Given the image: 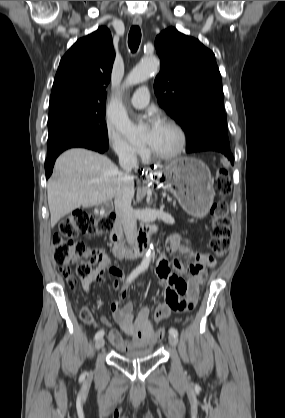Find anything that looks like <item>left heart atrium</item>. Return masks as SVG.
Masks as SVG:
<instances>
[{
	"instance_id": "1",
	"label": "left heart atrium",
	"mask_w": 285,
	"mask_h": 418,
	"mask_svg": "<svg viewBox=\"0 0 285 418\" xmlns=\"http://www.w3.org/2000/svg\"><path fill=\"white\" fill-rule=\"evenodd\" d=\"M143 119L149 124L150 134L152 136L156 135L164 125L161 119L152 113L146 115L145 117H143Z\"/></svg>"
}]
</instances>
